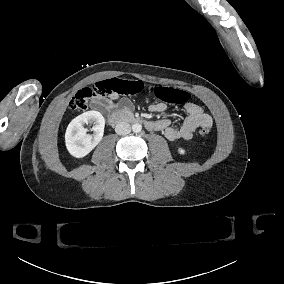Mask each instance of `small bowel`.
Instances as JSON below:
<instances>
[{"label":"small bowel","mask_w":284,"mask_h":284,"mask_svg":"<svg viewBox=\"0 0 284 284\" xmlns=\"http://www.w3.org/2000/svg\"><path fill=\"white\" fill-rule=\"evenodd\" d=\"M99 107L105 110L120 109L123 111L133 110V103L128 98H119V95L112 94L108 98L97 103ZM151 112L160 113L167 109L164 103H155L149 107ZM185 119L180 127H174L170 119L164 118L156 121H148L146 127L149 130L161 131L168 140L175 141L179 139L190 140L198 128L213 125L212 117L204 109L192 102L184 106Z\"/></svg>","instance_id":"1"}]
</instances>
